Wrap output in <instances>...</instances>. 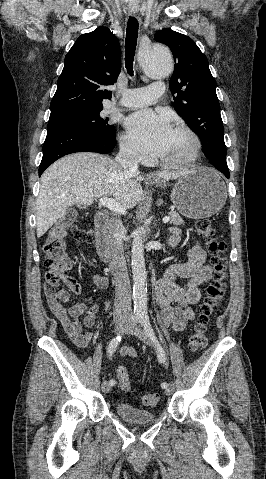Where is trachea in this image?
I'll list each match as a JSON object with an SVG mask.
<instances>
[{"label": "trachea", "mask_w": 266, "mask_h": 479, "mask_svg": "<svg viewBox=\"0 0 266 479\" xmlns=\"http://www.w3.org/2000/svg\"><path fill=\"white\" fill-rule=\"evenodd\" d=\"M138 38V21L129 17L125 40V67L130 76H133V61Z\"/></svg>", "instance_id": "1"}]
</instances>
